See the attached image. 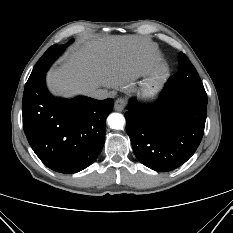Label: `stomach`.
Wrapping results in <instances>:
<instances>
[{
    "label": "stomach",
    "mask_w": 233,
    "mask_h": 233,
    "mask_svg": "<svg viewBox=\"0 0 233 233\" xmlns=\"http://www.w3.org/2000/svg\"><path fill=\"white\" fill-rule=\"evenodd\" d=\"M162 67L159 64H155L152 70L148 73L142 81H140V93L142 95H152L156 89L160 86V74Z\"/></svg>",
    "instance_id": "0dacf381"
}]
</instances>
